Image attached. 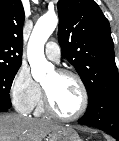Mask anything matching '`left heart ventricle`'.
<instances>
[{"instance_id": "b2bd125f", "label": "left heart ventricle", "mask_w": 119, "mask_h": 141, "mask_svg": "<svg viewBox=\"0 0 119 141\" xmlns=\"http://www.w3.org/2000/svg\"><path fill=\"white\" fill-rule=\"evenodd\" d=\"M42 85L59 113L72 115L79 110L82 94L78 83L72 77L60 76L54 71Z\"/></svg>"}]
</instances>
